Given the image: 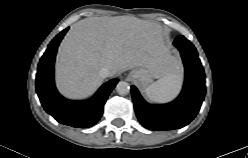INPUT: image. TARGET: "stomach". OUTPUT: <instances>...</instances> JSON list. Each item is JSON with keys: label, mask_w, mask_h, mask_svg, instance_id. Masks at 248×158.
I'll return each instance as SVG.
<instances>
[{"label": "stomach", "mask_w": 248, "mask_h": 158, "mask_svg": "<svg viewBox=\"0 0 248 158\" xmlns=\"http://www.w3.org/2000/svg\"><path fill=\"white\" fill-rule=\"evenodd\" d=\"M130 76L133 79L137 80L138 83L143 87H148L153 82L154 79V76L151 73V71L145 67L133 69L130 72Z\"/></svg>", "instance_id": "obj_1"}]
</instances>
